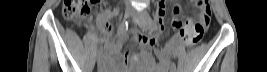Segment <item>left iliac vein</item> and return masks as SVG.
Listing matches in <instances>:
<instances>
[{
  "instance_id": "left-iliac-vein-1",
  "label": "left iliac vein",
  "mask_w": 267,
  "mask_h": 72,
  "mask_svg": "<svg viewBox=\"0 0 267 72\" xmlns=\"http://www.w3.org/2000/svg\"><path fill=\"white\" fill-rule=\"evenodd\" d=\"M150 16L147 10H144L141 15H140V26L143 31H146L149 28V23H150ZM170 72H176L175 69H170Z\"/></svg>"
}]
</instances>
